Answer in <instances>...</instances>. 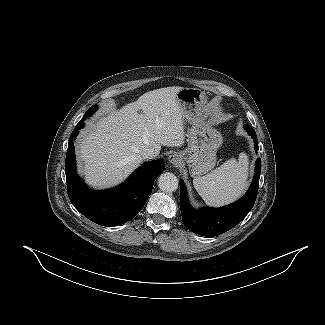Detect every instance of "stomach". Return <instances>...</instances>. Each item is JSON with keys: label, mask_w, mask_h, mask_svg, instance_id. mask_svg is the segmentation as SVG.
Instances as JSON below:
<instances>
[{"label": "stomach", "mask_w": 325, "mask_h": 325, "mask_svg": "<svg viewBox=\"0 0 325 325\" xmlns=\"http://www.w3.org/2000/svg\"><path fill=\"white\" fill-rule=\"evenodd\" d=\"M186 121L192 125L187 133L188 146L180 152L193 177L210 171L216 163V152L223 138L209 122L206 94L197 88H183L177 93Z\"/></svg>", "instance_id": "1"}]
</instances>
